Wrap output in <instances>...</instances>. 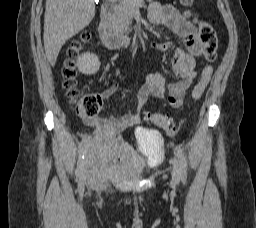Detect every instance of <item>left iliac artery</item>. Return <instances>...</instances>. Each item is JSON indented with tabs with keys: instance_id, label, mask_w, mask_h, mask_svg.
Returning a JSON list of instances; mask_svg holds the SVG:
<instances>
[{
	"instance_id": "1",
	"label": "left iliac artery",
	"mask_w": 256,
	"mask_h": 228,
	"mask_svg": "<svg viewBox=\"0 0 256 228\" xmlns=\"http://www.w3.org/2000/svg\"><path fill=\"white\" fill-rule=\"evenodd\" d=\"M177 151V157L179 160V165H180V175L183 181H186L187 178V161L186 158L182 152V150L178 147H176Z\"/></svg>"
}]
</instances>
